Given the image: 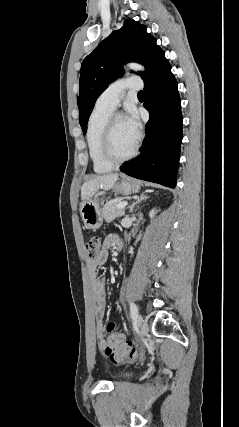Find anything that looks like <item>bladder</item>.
I'll use <instances>...</instances> for the list:
<instances>
[{
	"label": "bladder",
	"instance_id": "31cf9c89",
	"mask_svg": "<svg viewBox=\"0 0 239 427\" xmlns=\"http://www.w3.org/2000/svg\"><path fill=\"white\" fill-rule=\"evenodd\" d=\"M132 376V373L130 372H121L117 374V378L119 379H126Z\"/></svg>",
	"mask_w": 239,
	"mask_h": 427
}]
</instances>
